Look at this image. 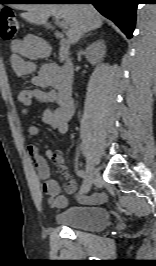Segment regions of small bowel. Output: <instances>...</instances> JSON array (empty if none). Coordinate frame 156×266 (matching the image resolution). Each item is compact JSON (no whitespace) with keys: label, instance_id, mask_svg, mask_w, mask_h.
Listing matches in <instances>:
<instances>
[{"label":"small bowel","instance_id":"obj_1","mask_svg":"<svg viewBox=\"0 0 156 266\" xmlns=\"http://www.w3.org/2000/svg\"><path fill=\"white\" fill-rule=\"evenodd\" d=\"M44 44L35 36L27 35L23 39L13 40L10 44L11 55L9 58L10 68L14 76L22 77L35 71V60L46 55L42 50ZM59 69L51 63L41 67L33 77V84L36 89L21 91L18 94V102L24 114L29 113L33 103H49L55 106L53 109H44L42 121L56 129L60 134L68 131V124L74 114V102L71 97V90L66 89L59 78ZM39 134L36 125L27 128V137L35 138ZM37 175L42 181V189L48 195L50 203L54 208H64L68 201L65 196L60 195V186L50 175V168L46 159L40 154L38 148L30 144L27 147ZM46 157L66 173L63 165V153L60 149H48ZM76 182L69 178L66 184V191L70 195L76 194ZM78 201L83 204L96 205L106 200L104 193H95L90 196H79Z\"/></svg>","mask_w":156,"mask_h":266}]
</instances>
